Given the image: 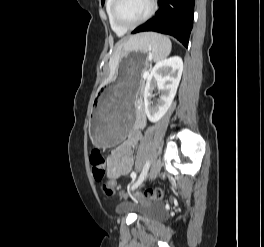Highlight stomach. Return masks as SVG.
Wrapping results in <instances>:
<instances>
[{
	"mask_svg": "<svg viewBox=\"0 0 264 247\" xmlns=\"http://www.w3.org/2000/svg\"><path fill=\"white\" fill-rule=\"evenodd\" d=\"M132 46L127 44L124 50L130 51ZM146 58L147 53H128V57H123V62L135 63H118L113 82L100 86L90 119V136L95 145L117 147L119 141H126L136 113V108H133L134 96L145 68V63L139 62H146Z\"/></svg>",
	"mask_w": 264,
	"mask_h": 247,
	"instance_id": "obj_1",
	"label": "stomach"
}]
</instances>
